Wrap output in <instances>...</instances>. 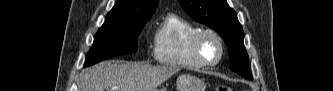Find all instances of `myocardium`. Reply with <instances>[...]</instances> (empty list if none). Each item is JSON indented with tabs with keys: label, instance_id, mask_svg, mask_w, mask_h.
<instances>
[{
	"label": "myocardium",
	"instance_id": "f54148a6",
	"mask_svg": "<svg viewBox=\"0 0 333 91\" xmlns=\"http://www.w3.org/2000/svg\"><path fill=\"white\" fill-rule=\"evenodd\" d=\"M210 36L213 37L219 46V54L216 60L208 61L204 58L202 54V41L205 37ZM192 51L195 59L199 64L205 67H213L220 63V61L224 57L225 46L222 37L212 29H200L192 39Z\"/></svg>",
	"mask_w": 333,
	"mask_h": 91
}]
</instances>
